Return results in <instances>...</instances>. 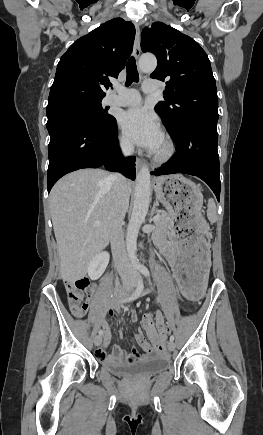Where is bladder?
Listing matches in <instances>:
<instances>
[{
    "mask_svg": "<svg viewBox=\"0 0 263 435\" xmlns=\"http://www.w3.org/2000/svg\"><path fill=\"white\" fill-rule=\"evenodd\" d=\"M168 365L169 358L157 354L134 363L105 362L103 368L119 376L149 377L164 371Z\"/></svg>",
    "mask_w": 263,
    "mask_h": 435,
    "instance_id": "bladder-1",
    "label": "bladder"
}]
</instances>
